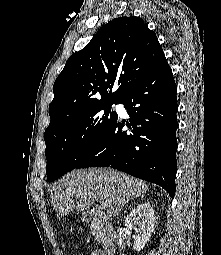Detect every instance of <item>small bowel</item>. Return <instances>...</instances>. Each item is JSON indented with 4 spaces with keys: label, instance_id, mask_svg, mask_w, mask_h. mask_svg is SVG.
Here are the masks:
<instances>
[{
    "label": "small bowel",
    "instance_id": "1",
    "mask_svg": "<svg viewBox=\"0 0 221 255\" xmlns=\"http://www.w3.org/2000/svg\"><path fill=\"white\" fill-rule=\"evenodd\" d=\"M90 255H103V253L100 250H95Z\"/></svg>",
    "mask_w": 221,
    "mask_h": 255
}]
</instances>
